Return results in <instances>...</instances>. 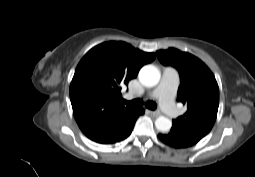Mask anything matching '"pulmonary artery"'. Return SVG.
Segmentation results:
<instances>
[{
	"label": "pulmonary artery",
	"mask_w": 255,
	"mask_h": 177,
	"mask_svg": "<svg viewBox=\"0 0 255 177\" xmlns=\"http://www.w3.org/2000/svg\"><path fill=\"white\" fill-rule=\"evenodd\" d=\"M177 88L178 79L175 71L171 68H164L158 87L149 94V97L159 100L161 109L172 118L178 116V111L174 104Z\"/></svg>",
	"instance_id": "e3ab8cb5"
}]
</instances>
